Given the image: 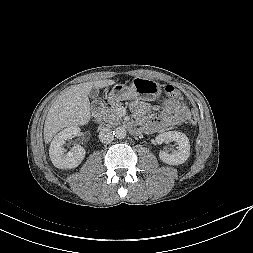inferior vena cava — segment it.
<instances>
[{
    "instance_id": "602c4592",
    "label": "inferior vena cava",
    "mask_w": 253,
    "mask_h": 253,
    "mask_svg": "<svg viewBox=\"0 0 253 253\" xmlns=\"http://www.w3.org/2000/svg\"><path fill=\"white\" fill-rule=\"evenodd\" d=\"M99 139L102 143L112 142L114 139L113 131L108 127L102 128L99 132Z\"/></svg>"
}]
</instances>
